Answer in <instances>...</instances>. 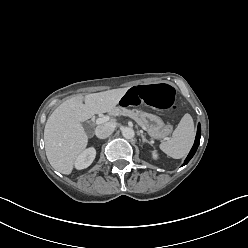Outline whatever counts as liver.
<instances>
[{
  "mask_svg": "<svg viewBox=\"0 0 248 248\" xmlns=\"http://www.w3.org/2000/svg\"><path fill=\"white\" fill-rule=\"evenodd\" d=\"M128 89H112L85 97L78 94L53 111L45 125L44 142L47 159L55 170L66 175L72 172L77 157L88 144L81 122L95 114L110 112Z\"/></svg>",
  "mask_w": 248,
  "mask_h": 248,
  "instance_id": "6515ba94",
  "label": "liver"
}]
</instances>
